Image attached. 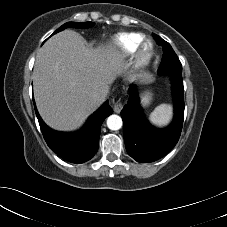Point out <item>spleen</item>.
Returning <instances> with one entry per match:
<instances>
[{"label": "spleen", "instance_id": "3e777b00", "mask_svg": "<svg viewBox=\"0 0 227 227\" xmlns=\"http://www.w3.org/2000/svg\"><path fill=\"white\" fill-rule=\"evenodd\" d=\"M171 107L167 104H162L155 108L150 115V121L156 125H162L171 118Z\"/></svg>", "mask_w": 227, "mask_h": 227}]
</instances>
